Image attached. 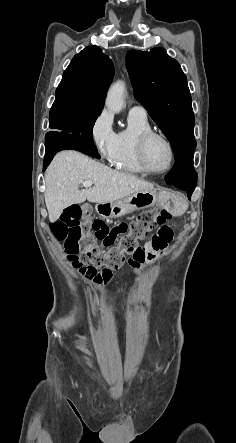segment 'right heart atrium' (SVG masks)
<instances>
[{
	"mask_svg": "<svg viewBox=\"0 0 236 443\" xmlns=\"http://www.w3.org/2000/svg\"><path fill=\"white\" fill-rule=\"evenodd\" d=\"M90 141L98 154L112 163L117 153V134L113 129L112 116L103 109L93 119L89 128Z\"/></svg>",
	"mask_w": 236,
	"mask_h": 443,
	"instance_id": "d8ad5b80",
	"label": "right heart atrium"
}]
</instances>
